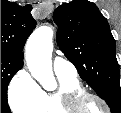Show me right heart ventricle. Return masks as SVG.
<instances>
[{"label":"right heart ventricle","mask_w":121,"mask_h":113,"mask_svg":"<svg viewBox=\"0 0 121 113\" xmlns=\"http://www.w3.org/2000/svg\"><path fill=\"white\" fill-rule=\"evenodd\" d=\"M58 88L55 91L40 90L37 101L18 109V113H59L58 110L72 109V98L77 91H84L76 76L56 75Z\"/></svg>","instance_id":"1"}]
</instances>
